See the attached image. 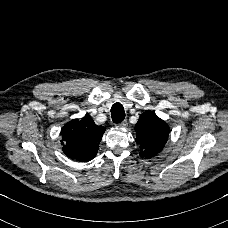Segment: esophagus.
<instances>
[{
    "label": "esophagus",
    "instance_id": "1",
    "mask_svg": "<svg viewBox=\"0 0 228 228\" xmlns=\"http://www.w3.org/2000/svg\"><path fill=\"white\" fill-rule=\"evenodd\" d=\"M128 122L126 120H123L122 122L118 123L117 126L121 128L127 127Z\"/></svg>",
    "mask_w": 228,
    "mask_h": 228
}]
</instances>
